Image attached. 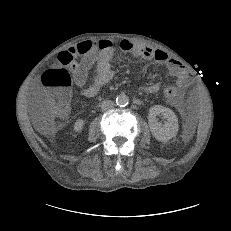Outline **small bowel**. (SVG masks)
<instances>
[{
	"mask_svg": "<svg viewBox=\"0 0 231 231\" xmlns=\"http://www.w3.org/2000/svg\"><path fill=\"white\" fill-rule=\"evenodd\" d=\"M118 47L122 52L134 57L153 60L158 64L166 66L169 73L176 78V86L184 90L190 86L192 78L184 66L176 59L171 58L166 52L150 46L140 45L130 40H122L116 45L111 40L102 39L94 42H81L62 52L64 58L61 64L69 67L73 72L74 83L83 88V95L87 98L96 96L101 87L107 84L114 76L111 67V59ZM80 57V61L75 58ZM94 63H97V72L93 82L85 87L88 72ZM146 93H155L159 90V84L153 83L145 86ZM172 105L179 104V99L168 100Z\"/></svg>",
	"mask_w": 231,
	"mask_h": 231,
	"instance_id": "1",
	"label": "small bowel"
}]
</instances>
